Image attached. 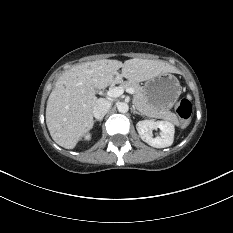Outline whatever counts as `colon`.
<instances>
[{"mask_svg":"<svg viewBox=\"0 0 233 233\" xmlns=\"http://www.w3.org/2000/svg\"><path fill=\"white\" fill-rule=\"evenodd\" d=\"M176 112L180 118V123L182 127L189 125L191 114H192V104L189 99L182 98L176 103Z\"/></svg>","mask_w":233,"mask_h":233,"instance_id":"obj_1","label":"colon"}]
</instances>
